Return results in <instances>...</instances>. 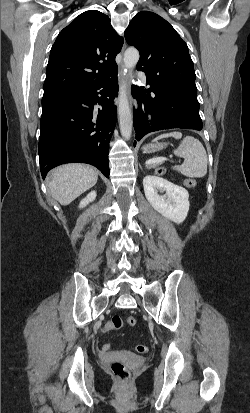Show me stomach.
<instances>
[{
  "label": "stomach",
  "instance_id": "obj_1",
  "mask_svg": "<svg viewBox=\"0 0 250 413\" xmlns=\"http://www.w3.org/2000/svg\"><path fill=\"white\" fill-rule=\"evenodd\" d=\"M166 145L167 143L165 142H156V143L147 144L143 147V151L145 153L156 152L158 150L163 149Z\"/></svg>",
  "mask_w": 250,
  "mask_h": 413
}]
</instances>
